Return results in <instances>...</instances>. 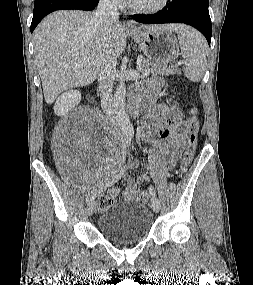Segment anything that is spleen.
<instances>
[{
  "instance_id": "3e777b00",
  "label": "spleen",
  "mask_w": 253,
  "mask_h": 285,
  "mask_svg": "<svg viewBox=\"0 0 253 285\" xmlns=\"http://www.w3.org/2000/svg\"><path fill=\"white\" fill-rule=\"evenodd\" d=\"M177 33L181 54L185 59L184 74L190 81L199 82L206 70L207 42L197 30L189 26H184Z\"/></svg>"
}]
</instances>
